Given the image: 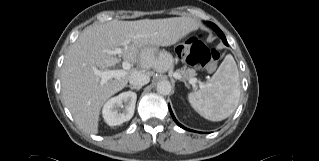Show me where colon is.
<instances>
[{
  "mask_svg": "<svg viewBox=\"0 0 319 161\" xmlns=\"http://www.w3.org/2000/svg\"><path fill=\"white\" fill-rule=\"evenodd\" d=\"M179 59L194 68H213L220 58V52L208 48L201 41V36L191 37L177 46Z\"/></svg>",
  "mask_w": 319,
  "mask_h": 161,
  "instance_id": "colon-1",
  "label": "colon"
}]
</instances>
